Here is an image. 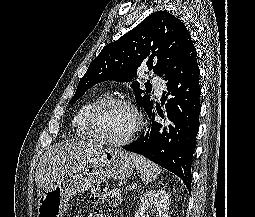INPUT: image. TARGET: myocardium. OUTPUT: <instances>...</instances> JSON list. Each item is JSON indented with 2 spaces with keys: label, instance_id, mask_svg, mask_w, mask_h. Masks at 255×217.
<instances>
[{
  "label": "myocardium",
  "instance_id": "f54148a6",
  "mask_svg": "<svg viewBox=\"0 0 255 217\" xmlns=\"http://www.w3.org/2000/svg\"><path fill=\"white\" fill-rule=\"evenodd\" d=\"M112 106H124L132 110L135 115L136 123L132 131L124 138L119 140H114L108 138L101 130L99 125V117L101 113L109 107ZM88 124L90 126L91 131L95 134V136L105 144L111 146H124L132 142L136 136L138 135L139 131L143 126V118L140 111L137 107L129 100L123 98H106L96 104L88 114Z\"/></svg>",
  "mask_w": 255,
  "mask_h": 217
}]
</instances>
